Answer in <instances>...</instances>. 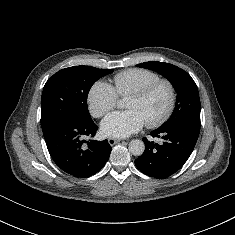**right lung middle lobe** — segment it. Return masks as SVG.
Masks as SVG:
<instances>
[{"mask_svg":"<svg viewBox=\"0 0 235 235\" xmlns=\"http://www.w3.org/2000/svg\"><path fill=\"white\" fill-rule=\"evenodd\" d=\"M112 72L113 69L74 66L50 77L41 98L42 130L64 118L92 120L87 107L89 90L99 78Z\"/></svg>","mask_w":235,"mask_h":235,"instance_id":"1","label":"right lung middle lobe"}]
</instances>
